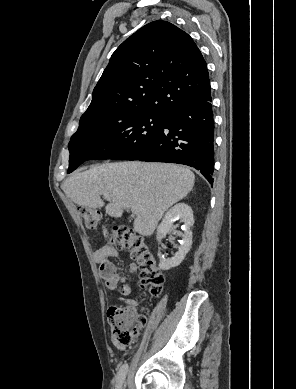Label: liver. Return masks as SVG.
<instances>
[{
	"label": "liver",
	"instance_id": "1",
	"mask_svg": "<svg viewBox=\"0 0 296 389\" xmlns=\"http://www.w3.org/2000/svg\"><path fill=\"white\" fill-rule=\"evenodd\" d=\"M194 182V173L179 165L104 163L71 175L62 189L74 203L88 208L103 207L100 196H108L105 212L114 218L134 208V231L151 236L164 212L186 197Z\"/></svg>",
	"mask_w": 296,
	"mask_h": 389
}]
</instances>
